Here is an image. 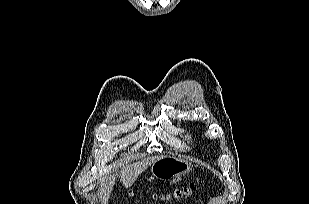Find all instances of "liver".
<instances>
[{"mask_svg": "<svg viewBox=\"0 0 309 204\" xmlns=\"http://www.w3.org/2000/svg\"><path fill=\"white\" fill-rule=\"evenodd\" d=\"M154 161H156V157L150 158L147 161H144L143 163L128 165L126 169L121 172L120 175L124 187L131 186L137 179L138 175L142 173V171Z\"/></svg>", "mask_w": 309, "mask_h": 204, "instance_id": "liver-1", "label": "liver"}]
</instances>
